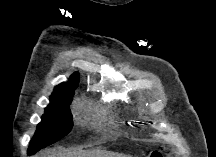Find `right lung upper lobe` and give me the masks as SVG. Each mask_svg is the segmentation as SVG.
<instances>
[{
    "label": "right lung upper lobe",
    "mask_w": 216,
    "mask_h": 157,
    "mask_svg": "<svg viewBox=\"0 0 216 157\" xmlns=\"http://www.w3.org/2000/svg\"><path fill=\"white\" fill-rule=\"evenodd\" d=\"M79 73L75 72L69 82H63L59 85H57L54 89V92L50 96V98H55L59 97L61 95L67 94V93H72L76 89L78 85V80H79ZM74 95V94H73Z\"/></svg>",
    "instance_id": "1"
}]
</instances>
